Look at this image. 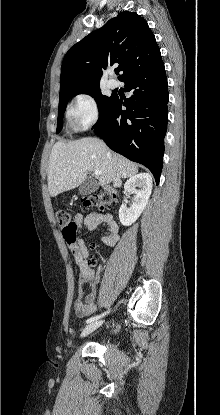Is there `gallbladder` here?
<instances>
[{"label":"gallbladder","mask_w":220,"mask_h":415,"mask_svg":"<svg viewBox=\"0 0 220 415\" xmlns=\"http://www.w3.org/2000/svg\"><path fill=\"white\" fill-rule=\"evenodd\" d=\"M98 188L97 183L90 179L87 178L79 187V194L81 195H88L91 194L92 192H94L96 189Z\"/></svg>","instance_id":"obj_1"}]
</instances>
